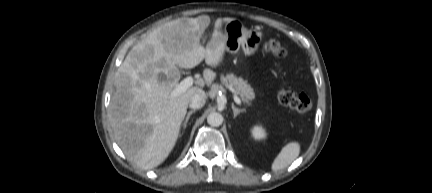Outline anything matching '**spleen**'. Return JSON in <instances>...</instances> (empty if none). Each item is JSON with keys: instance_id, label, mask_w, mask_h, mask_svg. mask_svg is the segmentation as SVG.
<instances>
[{"instance_id": "1", "label": "spleen", "mask_w": 432, "mask_h": 193, "mask_svg": "<svg viewBox=\"0 0 432 193\" xmlns=\"http://www.w3.org/2000/svg\"><path fill=\"white\" fill-rule=\"evenodd\" d=\"M300 154V145L298 142H289L286 144L274 159L271 169L277 172L289 166Z\"/></svg>"}]
</instances>
